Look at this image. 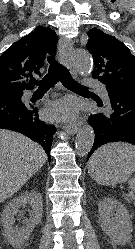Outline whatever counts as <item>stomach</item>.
Here are the masks:
<instances>
[{
    "label": "stomach",
    "instance_id": "0dacf381",
    "mask_svg": "<svg viewBox=\"0 0 135 249\" xmlns=\"http://www.w3.org/2000/svg\"><path fill=\"white\" fill-rule=\"evenodd\" d=\"M134 171L135 160L117 153H105L93 163H88L90 176L105 185L126 182Z\"/></svg>",
    "mask_w": 135,
    "mask_h": 249
}]
</instances>
